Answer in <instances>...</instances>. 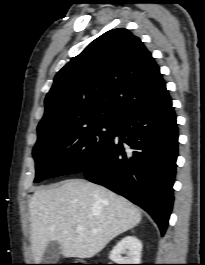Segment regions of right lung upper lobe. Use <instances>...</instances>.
<instances>
[{
  "label": "right lung upper lobe",
  "instance_id": "obj_1",
  "mask_svg": "<svg viewBox=\"0 0 205 265\" xmlns=\"http://www.w3.org/2000/svg\"><path fill=\"white\" fill-rule=\"evenodd\" d=\"M166 90L151 53L129 30H110L55 76L37 131H63L90 122H117Z\"/></svg>",
  "mask_w": 205,
  "mask_h": 265
}]
</instances>
